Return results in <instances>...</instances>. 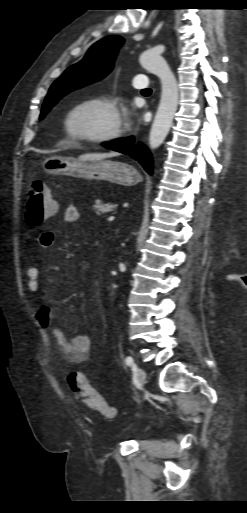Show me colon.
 I'll return each instance as SVG.
<instances>
[{
    "label": "colon",
    "mask_w": 247,
    "mask_h": 513,
    "mask_svg": "<svg viewBox=\"0 0 247 513\" xmlns=\"http://www.w3.org/2000/svg\"><path fill=\"white\" fill-rule=\"evenodd\" d=\"M58 212V204L50 189L41 180L31 184L25 204V218L27 224L32 227L40 226L45 220L53 217ZM71 390L89 408L98 412L105 418H113L115 410L104 397L88 382L85 374L72 372L68 376Z\"/></svg>",
    "instance_id": "5ec220e1"
}]
</instances>
